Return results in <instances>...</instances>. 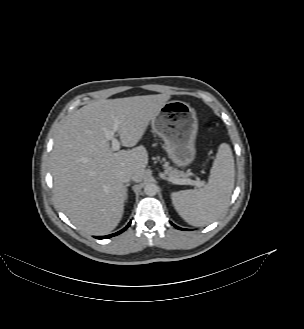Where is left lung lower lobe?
Returning a JSON list of instances; mask_svg holds the SVG:
<instances>
[{"instance_id":"0a47b994","label":"left lung lower lobe","mask_w":304,"mask_h":329,"mask_svg":"<svg viewBox=\"0 0 304 329\" xmlns=\"http://www.w3.org/2000/svg\"><path fill=\"white\" fill-rule=\"evenodd\" d=\"M171 224H172L174 227H176V228H178V229H180V230H186V229H182V228H180V227L174 225L173 223H171Z\"/></svg>"}]
</instances>
